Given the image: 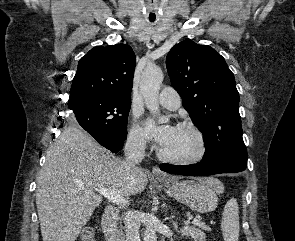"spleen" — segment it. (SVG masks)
Masks as SVG:
<instances>
[{
    "label": "spleen",
    "instance_id": "1",
    "mask_svg": "<svg viewBox=\"0 0 295 241\" xmlns=\"http://www.w3.org/2000/svg\"><path fill=\"white\" fill-rule=\"evenodd\" d=\"M221 230L224 241H238L239 238V207L235 198H231L222 213Z\"/></svg>",
    "mask_w": 295,
    "mask_h": 241
}]
</instances>
